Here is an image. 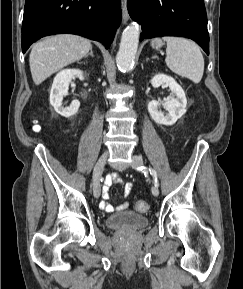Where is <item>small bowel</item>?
Returning <instances> with one entry per match:
<instances>
[{
	"label": "small bowel",
	"mask_w": 243,
	"mask_h": 289,
	"mask_svg": "<svg viewBox=\"0 0 243 289\" xmlns=\"http://www.w3.org/2000/svg\"><path fill=\"white\" fill-rule=\"evenodd\" d=\"M113 183H118L121 184L124 188V196L127 197L132 189V183L131 182H126L124 183L122 181V179L120 178V176L116 173L110 174L104 183L103 186V200L100 203V208L106 212H114V211H122L125 210L128 207V203L124 202L122 204H120L117 207L112 206L110 203L107 202V200L109 199V189L111 187V185Z\"/></svg>",
	"instance_id": "obj_1"
}]
</instances>
